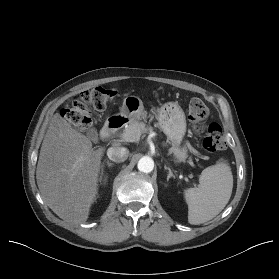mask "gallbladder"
Here are the masks:
<instances>
[{
  "label": "gallbladder",
  "mask_w": 279,
  "mask_h": 279,
  "mask_svg": "<svg viewBox=\"0 0 279 279\" xmlns=\"http://www.w3.org/2000/svg\"><path fill=\"white\" fill-rule=\"evenodd\" d=\"M87 136L90 138V139H95L97 138L98 134H97V130L94 129V128H91L87 131Z\"/></svg>",
  "instance_id": "1"
}]
</instances>
